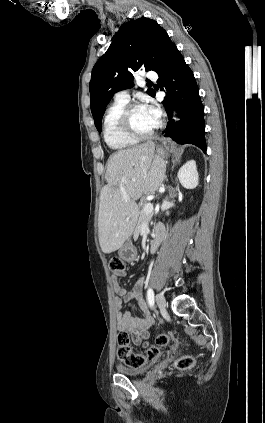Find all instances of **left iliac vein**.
I'll return each mask as SVG.
<instances>
[{
    "instance_id": "left-iliac-vein-1",
    "label": "left iliac vein",
    "mask_w": 265,
    "mask_h": 423,
    "mask_svg": "<svg viewBox=\"0 0 265 423\" xmlns=\"http://www.w3.org/2000/svg\"><path fill=\"white\" fill-rule=\"evenodd\" d=\"M156 303H157V305L160 309H162V310L166 309V300H165V297L163 296V294L158 293L156 295Z\"/></svg>"
}]
</instances>
